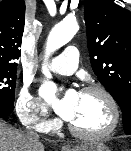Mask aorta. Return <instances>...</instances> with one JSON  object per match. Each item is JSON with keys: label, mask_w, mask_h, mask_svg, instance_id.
<instances>
[{"label": "aorta", "mask_w": 131, "mask_h": 151, "mask_svg": "<svg viewBox=\"0 0 131 151\" xmlns=\"http://www.w3.org/2000/svg\"><path fill=\"white\" fill-rule=\"evenodd\" d=\"M77 31L78 24L75 19H65L58 23L51 30L48 36L46 57H48L51 52L69 42ZM43 73L47 76V78L51 77L50 73L45 67L43 68Z\"/></svg>", "instance_id": "762f6f07"}]
</instances>
